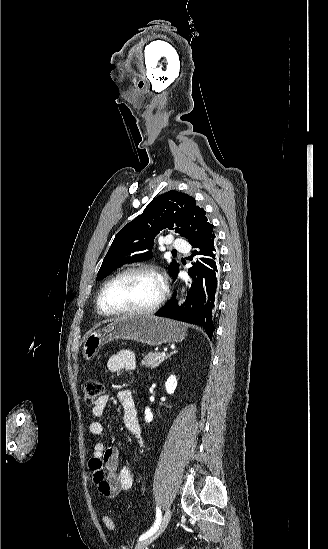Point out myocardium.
<instances>
[{"label":"myocardium","instance_id":"1","mask_svg":"<svg viewBox=\"0 0 328 549\" xmlns=\"http://www.w3.org/2000/svg\"><path fill=\"white\" fill-rule=\"evenodd\" d=\"M161 268H163V266L156 262H134V263L125 265L114 276H112L101 288L100 293L98 295V300H97V306H96L97 310L106 317L117 318V319L130 317V316H147V315L154 314L161 307L168 292L167 282L164 279L161 272L159 271V269ZM136 270L149 272L159 280L161 284V291L158 298L148 307L138 308V309H129V310H123V311L112 310L105 303V294L107 289L124 274L131 271H136Z\"/></svg>","mask_w":328,"mask_h":549}]
</instances>
